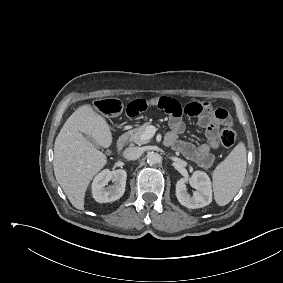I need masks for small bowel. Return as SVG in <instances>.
<instances>
[{
	"instance_id": "small-bowel-1",
	"label": "small bowel",
	"mask_w": 283,
	"mask_h": 283,
	"mask_svg": "<svg viewBox=\"0 0 283 283\" xmlns=\"http://www.w3.org/2000/svg\"><path fill=\"white\" fill-rule=\"evenodd\" d=\"M149 107H158L170 117L171 131L166 136V143L181 152L185 157L203 168H209L214 163L212 150L219 148L218 130L220 126H230L232 119L224 109H213L206 101H194L185 106L168 96H157L149 99L139 98L127 105L129 117H137ZM183 116H195L199 125L205 129V141L196 146L181 139L185 130Z\"/></svg>"
}]
</instances>
